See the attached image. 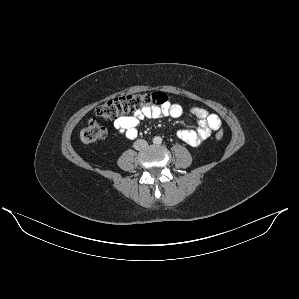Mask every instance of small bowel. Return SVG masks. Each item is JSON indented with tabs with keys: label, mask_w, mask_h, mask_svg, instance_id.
Wrapping results in <instances>:
<instances>
[{
	"label": "small bowel",
	"mask_w": 299,
	"mask_h": 299,
	"mask_svg": "<svg viewBox=\"0 0 299 299\" xmlns=\"http://www.w3.org/2000/svg\"><path fill=\"white\" fill-rule=\"evenodd\" d=\"M184 110L180 104H165L162 107L145 108L134 112L131 115L121 116L114 120V128L128 139H133L138 135V126L144 119H157L163 116L178 118ZM189 114L198 120L196 129H180L177 137L191 146L202 144L212 131L218 130L221 120L216 114H211L200 107H192Z\"/></svg>",
	"instance_id": "small-bowel-1"
}]
</instances>
